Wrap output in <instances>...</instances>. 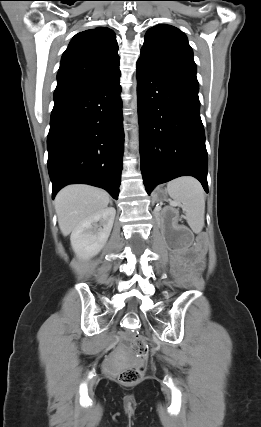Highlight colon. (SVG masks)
<instances>
[{"label": "colon", "mask_w": 261, "mask_h": 427, "mask_svg": "<svg viewBox=\"0 0 261 427\" xmlns=\"http://www.w3.org/2000/svg\"><path fill=\"white\" fill-rule=\"evenodd\" d=\"M134 354L141 360V365L128 368L119 374V382L123 385H134L139 383L145 372V361L148 357V344L144 337L135 336L131 340Z\"/></svg>", "instance_id": "5ec220e1"}]
</instances>
